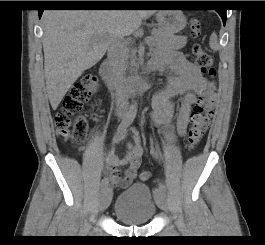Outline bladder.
I'll list each match as a JSON object with an SVG mask.
<instances>
[{
    "label": "bladder",
    "instance_id": "1",
    "mask_svg": "<svg viewBox=\"0 0 265 245\" xmlns=\"http://www.w3.org/2000/svg\"><path fill=\"white\" fill-rule=\"evenodd\" d=\"M156 200L145 184H131L117 197L114 216L125 225H143L154 216Z\"/></svg>",
    "mask_w": 265,
    "mask_h": 245
}]
</instances>
